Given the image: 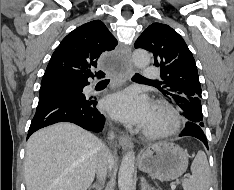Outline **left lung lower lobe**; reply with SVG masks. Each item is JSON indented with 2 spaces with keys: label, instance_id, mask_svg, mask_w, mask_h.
I'll return each mask as SVG.
<instances>
[{
  "label": "left lung lower lobe",
  "instance_id": "0a47b994",
  "mask_svg": "<svg viewBox=\"0 0 234 190\" xmlns=\"http://www.w3.org/2000/svg\"><path fill=\"white\" fill-rule=\"evenodd\" d=\"M203 127L204 125L192 122V121H187L186 126L183 129L182 133L180 136H191L195 137L199 140H201L205 146L208 148V143H207V138L203 132Z\"/></svg>",
  "mask_w": 234,
  "mask_h": 190
}]
</instances>
